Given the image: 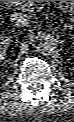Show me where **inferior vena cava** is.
<instances>
[{
  "label": "inferior vena cava",
  "mask_w": 74,
  "mask_h": 122,
  "mask_svg": "<svg viewBox=\"0 0 74 122\" xmlns=\"http://www.w3.org/2000/svg\"><path fill=\"white\" fill-rule=\"evenodd\" d=\"M11 22L18 27H26L30 24V17L26 14L15 12L10 16Z\"/></svg>",
  "instance_id": "obj_1"
}]
</instances>
